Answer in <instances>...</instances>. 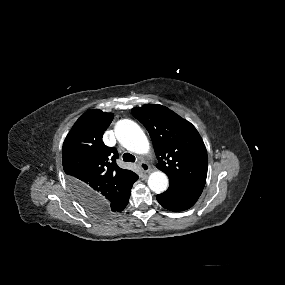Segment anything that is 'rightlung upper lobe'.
Here are the masks:
<instances>
[{"mask_svg": "<svg viewBox=\"0 0 285 285\" xmlns=\"http://www.w3.org/2000/svg\"><path fill=\"white\" fill-rule=\"evenodd\" d=\"M112 120V113L90 110L77 120L64 141L63 169L83 206L103 202L108 209L138 179L134 172L117 166L116 148L108 147L102 141Z\"/></svg>", "mask_w": 285, "mask_h": 285, "instance_id": "right-lung-upper-lobe-1", "label": "right lung upper lobe"}]
</instances>
